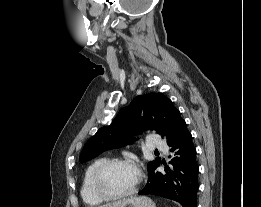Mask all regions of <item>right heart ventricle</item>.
<instances>
[{"instance_id": "right-heart-ventricle-1", "label": "right heart ventricle", "mask_w": 261, "mask_h": 207, "mask_svg": "<svg viewBox=\"0 0 261 207\" xmlns=\"http://www.w3.org/2000/svg\"><path fill=\"white\" fill-rule=\"evenodd\" d=\"M107 157H101L98 159H95L93 162L89 164V166L86 168L83 179H82V185H81V196L83 201L91 206H98L103 202V199H101L95 192L92 186V179L94 172L96 169L105 161H107Z\"/></svg>"}]
</instances>
